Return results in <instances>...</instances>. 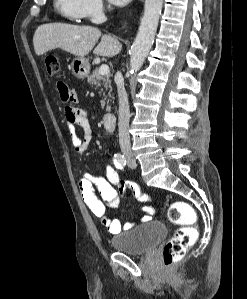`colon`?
I'll list each match as a JSON object with an SVG mask.
<instances>
[{"label":"colon","mask_w":247,"mask_h":299,"mask_svg":"<svg viewBox=\"0 0 247 299\" xmlns=\"http://www.w3.org/2000/svg\"><path fill=\"white\" fill-rule=\"evenodd\" d=\"M45 66L49 75L57 74L60 69L58 58L52 54L45 57ZM131 190L136 194H142L135 185L131 186ZM167 216L172 224L178 226L163 249L164 264L170 267L185 255L187 248L196 240L198 231L195 226L196 214L185 202L172 203L168 208Z\"/></svg>","instance_id":"obj_1"}]
</instances>
